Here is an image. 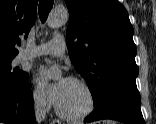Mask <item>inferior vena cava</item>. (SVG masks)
<instances>
[{
    "instance_id": "1",
    "label": "inferior vena cava",
    "mask_w": 156,
    "mask_h": 124,
    "mask_svg": "<svg viewBox=\"0 0 156 124\" xmlns=\"http://www.w3.org/2000/svg\"><path fill=\"white\" fill-rule=\"evenodd\" d=\"M34 111L37 122L41 123L42 121H44L46 116V99L44 95H34Z\"/></svg>"
}]
</instances>
